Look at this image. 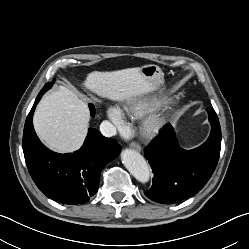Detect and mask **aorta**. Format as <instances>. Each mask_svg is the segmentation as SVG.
<instances>
[{"label": "aorta", "instance_id": "1", "mask_svg": "<svg viewBox=\"0 0 249 249\" xmlns=\"http://www.w3.org/2000/svg\"><path fill=\"white\" fill-rule=\"evenodd\" d=\"M121 161L136 180L141 183L149 181L150 169L140 153L132 149H125L121 153Z\"/></svg>", "mask_w": 249, "mask_h": 249}]
</instances>
